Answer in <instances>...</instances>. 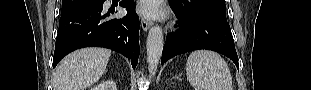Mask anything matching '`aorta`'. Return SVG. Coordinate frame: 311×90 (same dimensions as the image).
Segmentation results:
<instances>
[{
  "instance_id": "1",
  "label": "aorta",
  "mask_w": 311,
  "mask_h": 90,
  "mask_svg": "<svg viewBox=\"0 0 311 90\" xmlns=\"http://www.w3.org/2000/svg\"><path fill=\"white\" fill-rule=\"evenodd\" d=\"M163 46L164 37L162 28L155 25L149 30L146 42L147 63L150 77H153L156 74L157 67L162 56Z\"/></svg>"
}]
</instances>
